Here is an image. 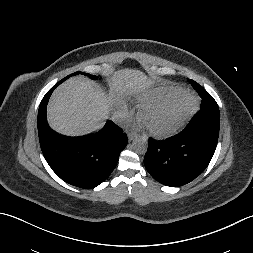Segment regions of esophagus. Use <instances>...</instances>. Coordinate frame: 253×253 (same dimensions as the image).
<instances>
[{
  "mask_svg": "<svg viewBox=\"0 0 253 253\" xmlns=\"http://www.w3.org/2000/svg\"><path fill=\"white\" fill-rule=\"evenodd\" d=\"M137 134L136 133H134V132H129L128 133V140L129 141H132V140H134L135 138H137Z\"/></svg>",
  "mask_w": 253,
  "mask_h": 253,
  "instance_id": "obj_1",
  "label": "esophagus"
}]
</instances>
